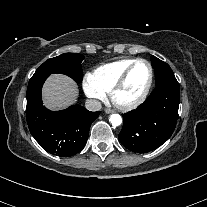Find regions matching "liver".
Masks as SVG:
<instances>
[{"label": "liver", "instance_id": "liver-1", "mask_svg": "<svg viewBox=\"0 0 207 207\" xmlns=\"http://www.w3.org/2000/svg\"><path fill=\"white\" fill-rule=\"evenodd\" d=\"M42 97L44 105L50 110L65 109L76 102L78 91L76 83L62 74L50 75L46 80Z\"/></svg>", "mask_w": 207, "mask_h": 207}]
</instances>
